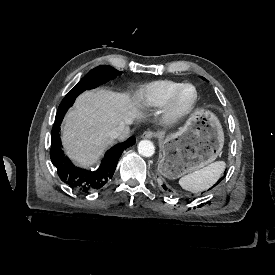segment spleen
I'll return each instance as SVG.
<instances>
[{"label":"spleen","mask_w":275,"mask_h":275,"mask_svg":"<svg viewBox=\"0 0 275 275\" xmlns=\"http://www.w3.org/2000/svg\"><path fill=\"white\" fill-rule=\"evenodd\" d=\"M226 168L224 161H216L209 165L183 176L179 185L187 191L198 193L211 188L222 176Z\"/></svg>","instance_id":"3e777b00"}]
</instances>
